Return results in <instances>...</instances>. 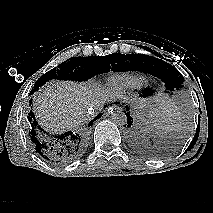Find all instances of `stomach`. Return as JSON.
<instances>
[{
  "instance_id": "0dacf381",
  "label": "stomach",
  "mask_w": 213,
  "mask_h": 213,
  "mask_svg": "<svg viewBox=\"0 0 213 213\" xmlns=\"http://www.w3.org/2000/svg\"><path fill=\"white\" fill-rule=\"evenodd\" d=\"M158 112L159 109L154 104L151 103L139 104L135 110L138 120L146 125L152 124L155 121Z\"/></svg>"
}]
</instances>
